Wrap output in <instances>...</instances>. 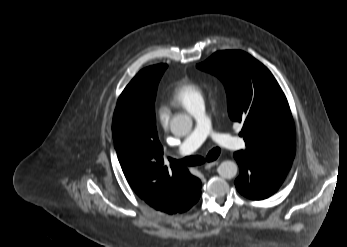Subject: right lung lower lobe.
<instances>
[{"label":"right lung lower lobe","mask_w":347,"mask_h":247,"mask_svg":"<svg viewBox=\"0 0 347 247\" xmlns=\"http://www.w3.org/2000/svg\"><path fill=\"white\" fill-rule=\"evenodd\" d=\"M200 194L193 198L186 206H184L179 212H184L190 209L199 199Z\"/></svg>","instance_id":"obj_1"}]
</instances>
